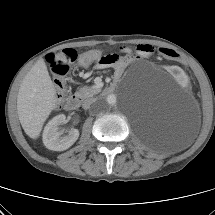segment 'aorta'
Masks as SVG:
<instances>
[{"label": "aorta", "mask_w": 215, "mask_h": 215, "mask_svg": "<svg viewBox=\"0 0 215 215\" xmlns=\"http://www.w3.org/2000/svg\"><path fill=\"white\" fill-rule=\"evenodd\" d=\"M116 96L114 94H110L106 97V99L100 102L98 105H102L104 108H108L116 103Z\"/></svg>", "instance_id": "aorta-1"}]
</instances>
